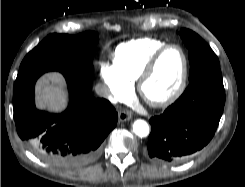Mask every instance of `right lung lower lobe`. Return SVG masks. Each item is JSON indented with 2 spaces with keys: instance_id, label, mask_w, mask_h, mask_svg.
I'll return each instance as SVG.
<instances>
[{
  "instance_id": "obj_1",
  "label": "right lung lower lobe",
  "mask_w": 245,
  "mask_h": 187,
  "mask_svg": "<svg viewBox=\"0 0 245 187\" xmlns=\"http://www.w3.org/2000/svg\"><path fill=\"white\" fill-rule=\"evenodd\" d=\"M59 71L66 78L70 104L61 114L39 111L34 105L36 80ZM91 72L59 64H32L19 69L13 92L16 129L42 160L65 169L78 168L97 158L101 143L116 126L118 114L109 101L95 99Z\"/></svg>"
}]
</instances>
